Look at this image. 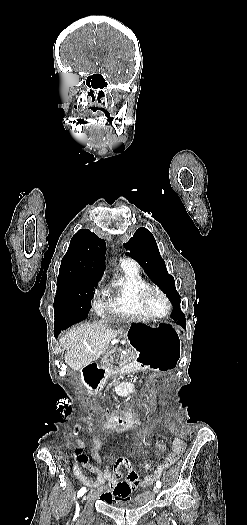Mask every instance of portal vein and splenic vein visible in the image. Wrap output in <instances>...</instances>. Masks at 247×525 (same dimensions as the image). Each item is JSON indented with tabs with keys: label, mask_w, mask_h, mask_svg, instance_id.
<instances>
[{
	"label": "portal vein and splenic vein",
	"mask_w": 247,
	"mask_h": 525,
	"mask_svg": "<svg viewBox=\"0 0 247 525\" xmlns=\"http://www.w3.org/2000/svg\"><path fill=\"white\" fill-rule=\"evenodd\" d=\"M118 366V363H114L113 364H107V370H115V368H117Z\"/></svg>",
	"instance_id": "portal-vein-and-splenic-vein-1"
}]
</instances>
